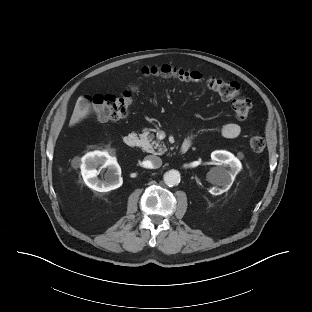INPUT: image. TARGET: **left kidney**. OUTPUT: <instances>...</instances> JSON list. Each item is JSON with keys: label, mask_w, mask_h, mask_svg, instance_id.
<instances>
[{"label": "left kidney", "mask_w": 312, "mask_h": 312, "mask_svg": "<svg viewBox=\"0 0 312 312\" xmlns=\"http://www.w3.org/2000/svg\"><path fill=\"white\" fill-rule=\"evenodd\" d=\"M211 159L216 161L219 165H224L223 167H213L207 174L211 183L222 187H212L209 189V192L212 195H220L231 187L235 176L242 169V164L232 153L224 150L212 152Z\"/></svg>", "instance_id": "1"}]
</instances>
